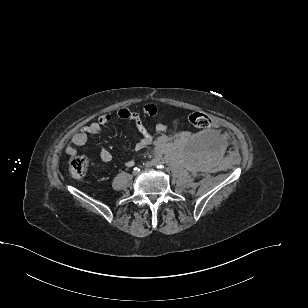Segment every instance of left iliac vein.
<instances>
[{
    "mask_svg": "<svg viewBox=\"0 0 308 308\" xmlns=\"http://www.w3.org/2000/svg\"><path fill=\"white\" fill-rule=\"evenodd\" d=\"M146 167H147V168H150V167H151V165H150V164H147V165H146Z\"/></svg>",
    "mask_w": 308,
    "mask_h": 308,
    "instance_id": "obj_1",
    "label": "left iliac vein"
}]
</instances>
